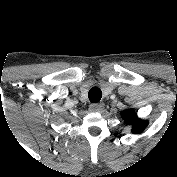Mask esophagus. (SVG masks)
Instances as JSON below:
<instances>
[{"label": "esophagus", "instance_id": "esophagus-1", "mask_svg": "<svg viewBox=\"0 0 177 177\" xmlns=\"http://www.w3.org/2000/svg\"><path fill=\"white\" fill-rule=\"evenodd\" d=\"M103 108H104L103 103H94L90 105L89 110L92 112H100Z\"/></svg>", "mask_w": 177, "mask_h": 177}]
</instances>
